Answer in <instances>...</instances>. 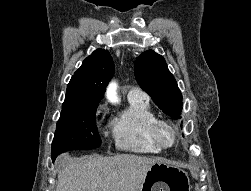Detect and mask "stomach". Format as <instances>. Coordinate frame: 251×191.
Instances as JSON below:
<instances>
[{
	"label": "stomach",
	"mask_w": 251,
	"mask_h": 191,
	"mask_svg": "<svg viewBox=\"0 0 251 191\" xmlns=\"http://www.w3.org/2000/svg\"><path fill=\"white\" fill-rule=\"evenodd\" d=\"M160 187L165 191H190L189 177L180 167L157 161L147 171L139 191H164Z\"/></svg>",
	"instance_id": "stomach-1"
}]
</instances>
